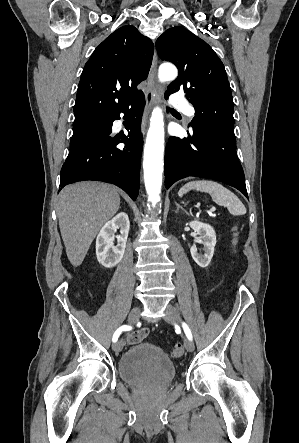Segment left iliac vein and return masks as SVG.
Here are the masks:
<instances>
[{"mask_svg":"<svg viewBox=\"0 0 299 443\" xmlns=\"http://www.w3.org/2000/svg\"><path fill=\"white\" fill-rule=\"evenodd\" d=\"M164 319L170 323H180L181 322V318H180V314H179L178 310L172 305H167L166 310H165ZM184 346H185L186 350L189 352H192L194 350V344L188 338H185Z\"/></svg>","mask_w":299,"mask_h":443,"instance_id":"4c4485c4","label":"left iliac vein"}]
</instances>
